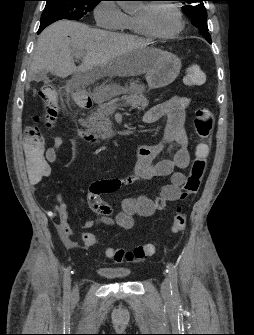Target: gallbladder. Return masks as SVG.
<instances>
[{
  "label": "gallbladder",
  "mask_w": 254,
  "mask_h": 335,
  "mask_svg": "<svg viewBox=\"0 0 254 335\" xmlns=\"http://www.w3.org/2000/svg\"><path fill=\"white\" fill-rule=\"evenodd\" d=\"M33 79H35L36 81L47 79L46 72H40L39 75L37 77H34Z\"/></svg>",
  "instance_id": "bac80fb5"
}]
</instances>
